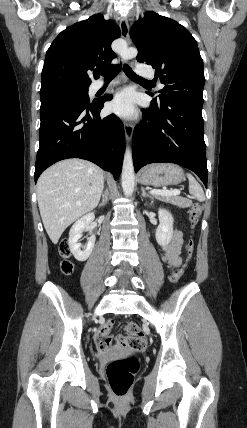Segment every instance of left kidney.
Returning <instances> with one entry per match:
<instances>
[{"label":"left kidney","instance_id":"1","mask_svg":"<svg viewBox=\"0 0 247 428\" xmlns=\"http://www.w3.org/2000/svg\"><path fill=\"white\" fill-rule=\"evenodd\" d=\"M159 226L156 229V241L161 246H166L172 239L173 234V217L165 209H159Z\"/></svg>","mask_w":247,"mask_h":428}]
</instances>
